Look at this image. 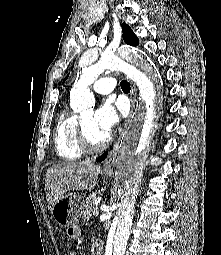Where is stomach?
<instances>
[{"mask_svg":"<svg viewBox=\"0 0 221 255\" xmlns=\"http://www.w3.org/2000/svg\"><path fill=\"white\" fill-rule=\"evenodd\" d=\"M84 200L79 194H67L59 198L52 207L51 214L57 224L62 227L73 226L78 223Z\"/></svg>","mask_w":221,"mask_h":255,"instance_id":"stomach-1","label":"stomach"}]
</instances>
